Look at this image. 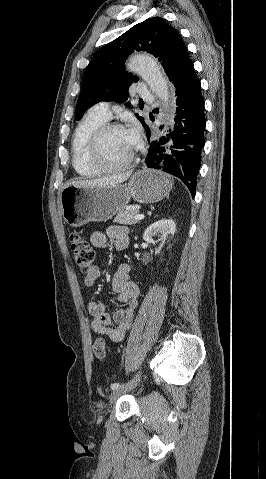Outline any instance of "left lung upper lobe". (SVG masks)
Wrapping results in <instances>:
<instances>
[{"label":"left lung upper lobe","mask_w":266,"mask_h":479,"mask_svg":"<svg viewBox=\"0 0 266 479\" xmlns=\"http://www.w3.org/2000/svg\"><path fill=\"white\" fill-rule=\"evenodd\" d=\"M134 50L153 54L173 83L191 61L177 30L161 17L136 24L123 35L101 48L87 66L76 106V120L99 101H126L128 89L138 79L124 70L128 55ZM145 124L144 118L135 114Z\"/></svg>","instance_id":"obj_1"}]
</instances>
